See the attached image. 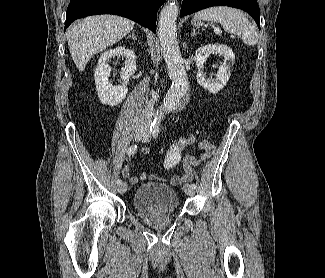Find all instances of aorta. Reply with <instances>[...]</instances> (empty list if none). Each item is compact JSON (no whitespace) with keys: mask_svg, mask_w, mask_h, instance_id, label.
Segmentation results:
<instances>
[{"mask_svg":"<svg viewBox=\"0 0 325 278\" xmlns=\"http://www.w3.org/2000/svg\"><path fill=\"white\" fill-rule=\"evenodd\" d=\"M179 6L176 2L165 5L159 15L157 33L161 50L167 64L168 74L172 85L164 99L162 108L157 113L156 119L160 121L166 111L175 110L186 95L189 83L183 65L180 48L177 42L176 20Z\"/></svg>","mask_w":325,"mask_h":278,"instance_id":"1","label":"aorta"}]
</instances>
